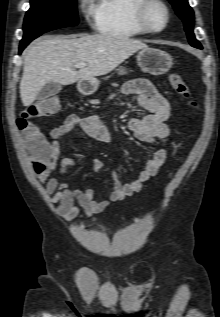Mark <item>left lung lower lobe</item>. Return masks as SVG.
I'll list each match as a JSON object with an SVG mask.
<instances>
[{
	"instance_id": "1",
	"label": "left lung lower lobe",
	"mask_w": 220,
	"mask_h": 317,
	"mask_svg": "<svg viewBox=\"0 0 220 317\" xmlns=\"http://www.w3.org/2000/svg\"><path fill=\"white\" fill-rule=\"evenodd\" d=\"M193 47H194V46H193ZM195 48L202 49V47H195Z\"/></svg>"
}]
</instances>
